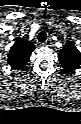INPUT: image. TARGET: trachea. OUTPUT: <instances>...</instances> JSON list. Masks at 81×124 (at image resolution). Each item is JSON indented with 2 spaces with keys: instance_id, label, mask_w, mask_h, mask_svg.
Segmentation results:
<instances>
[{
  "instance_id": "3493384b",
  "label": "trachea",
  "mask_w": 81,
  "mask_h": 124,
  "mask_svg": "<svg viewBox=\"0 0 81 124\" xmlns=\"http://www.w3.org/2000/svg\"><path fill=\"white\" fill-rule=\"evenodd\" d=\"M37 39L39 42H45L46 39H47V34L45 31H41L38 36H37Z\"/></svg>"
}]
</instances>
